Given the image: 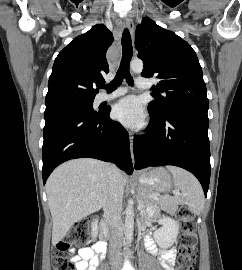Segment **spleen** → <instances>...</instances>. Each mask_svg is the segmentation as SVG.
Wrapping results in <instances>:
<instances>
[{
	"instance_id": "spleen-1",
	"label": "spleen",
	"mask_w": 242,
	"mask_h": 270,
	"mask_svg": "<svg viewBox=\"0 0 242 270\" xmlns=\"http://www.w3.org/2000/svg\"><path fill=\"white\" fill-rule=\"evenodd\" d=\"M168 170L173 175L176 192L174 196L164 195L162 201L187 205L194 214L199 215L204 207V193L198 180L179 167L169 166Z\"/></svg>"
}]
</instances>
